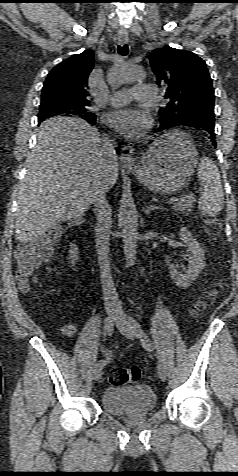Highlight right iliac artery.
Here are the masks:
<instances>
[{"label": "right iliac artery", "mask_w": 238, "mask_h": 476, "mask_svg": "<svg viewBox=\"0 0 238 476\" xmlns=\"http://www.w3.org/2000/svg\"><path fill=\"white\" fill-rule=\"evenodd\" d=\"M104 328H105V331H106V333H107L108 335H111V336L114 335L115 332H114V330H113V324L111 323L109 317L106 318V320H105V326H104ZM108 360H109V357H107V358L104 359V360H101L100 362H98V363L95 365L96 368H102V367H104V366L107 364Z\"/></svg>", "instance_id": "1"}]
</instances>
